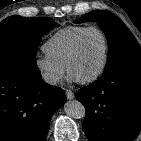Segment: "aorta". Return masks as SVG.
I'll return each mask as SVG.
<instances>
[{"instance_id":"1","label":"aorta","mask_w":141,"mask_h":141,"mask_svg":"<svg viewBox=\"0 0 141 141\" xmlns=\"http://www.w3.org/2000/svg\"><path fill=\"white\" fill-rule=\"evenodd\" d=\"M65 113L74 119H80L85 117V107L77 100L67 101L64 105Z\"/></svg>"}]
</instances>
